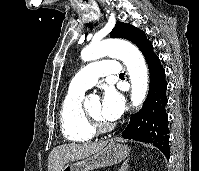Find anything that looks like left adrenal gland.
<instances>
[{
	"label": "left adrenal gland",
	"mask_w": 199,
	"mask_h": 171,
	"mask_svg": "<svg viewBox=\"0 0 199 171\" xmlns=\"http://www.w3.org/2000/svg\"><path fill=\"white\" fill-rule=\"evenodd\" d=\"M128 162H129V159H127L125 162H123V164L121 165V167L118 171H127L128 166H129Z\"/></svg>",
	"instance_id": "a2214340"
}]
</instances>
